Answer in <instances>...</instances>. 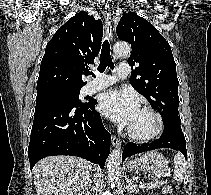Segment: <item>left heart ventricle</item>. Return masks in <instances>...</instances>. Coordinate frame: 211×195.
Listing matches in <instances>:
<instances>
[{"label":"left heart ventricle","mask_w":211,"mask_h":195,"mask_svg":"<svg viewBox=\"0 0 211 195\" xmlns=\"http://www.w3.org/2000/svg\"><path fill=\"white\" fill-rule=\"evenodd\" d=\"M129 128L139 135H147L156 128V120L150 113L139 110Z\"/></svg>","instance_id":"obj_1"}]
</instances>
